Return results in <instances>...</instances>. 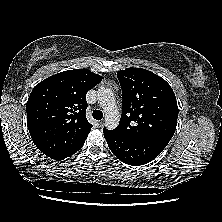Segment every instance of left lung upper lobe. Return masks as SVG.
I'll use <instances>...</instances> for the list:
<instances>
[{"label":"left lung upper lobe","mask_w":222,"mask_h":222,"mask_svg":"<svg viewBox=\"0 0 222 222\" xmlns=\"http://www.w3.org/2000/svg\"><path fill=\"white\" fill-rule=\"evenodd\" d=\"M122 89V116L114 133L131 139L169 142L178 118L171 86L151 71L127 68L117 72Z\"/></svg>","instance_id":"left-lung-upper-lobe-1"}]
</instances>
